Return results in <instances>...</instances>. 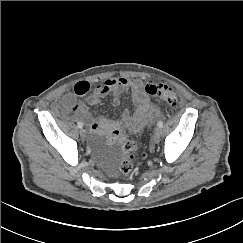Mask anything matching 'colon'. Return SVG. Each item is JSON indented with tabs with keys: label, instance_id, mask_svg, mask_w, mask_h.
Returning <instances> with one entry per match:
<instances>
[{
	"label": "colon",
	"instance_id": "colon-1",
	"mask_svg": "<svg viewBox=\"0 0 243 243\" xmlns=\"http://www.w3.org/2000/svg\"><path fill=\"white\" fill-rule=\"evenodd\" d=\"M145 92L161 100L165 105L175 107L180 104V95L169 85L155 81H148ZM124 156L119 163V171L122 176L127 177L133 170V154L138 151V143L134 140L125 139L122 145Z\"/></svg>",
	"mask_w": 243,
	"mask_h": 243
}]
</instances>
